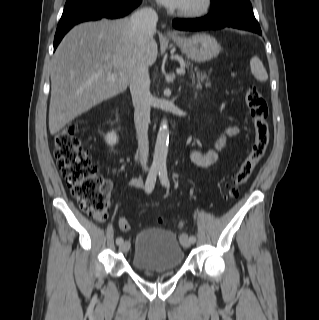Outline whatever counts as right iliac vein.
<instances>
[{
	"label": "right iliac vein",
	"instance_id": "obj_1",
	"mask_svg": "<svg viewBox=\"0 0 319 320\" xmlns=\"http://www.w3.org/2000/svg\"><path fill=\"white\" fill-rule=\"evenodd\" d=\"M129 247H130V243L128 241H125L119 246V250L121 252H127L129 250Z\"/></svg>",
	"mask_w": 319,
	"mask_h": 320
}]
</instances>
